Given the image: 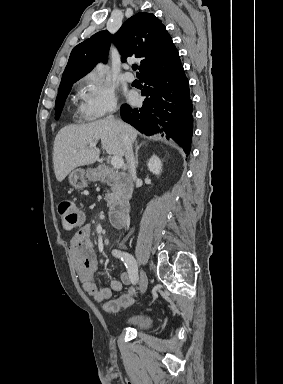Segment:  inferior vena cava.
Instances as JSON below:
<instances>
[{"instance_id":"602c4592","label":"inferior vena cava","mask_w":283,"mask_h":384,"mask_svg":"<svg viewBox=\"0 0 283 384\" xmlns=\"http://www.w3.org/2000/svg\"><path fill=\"white\" fill-rule=\"evenodd\" d=\"M113 112H116V106H111L110 116H108V120H114L113 116H111V114H113ZM121 138H122V142L124 144L125 158L127 160L128 170L130 172V176H131V178H133V180H136V166H135V160H134V156H133L132 142H131V140H129V138H128V136H126V134H122Z\"/></svg>"}]
</instances>
